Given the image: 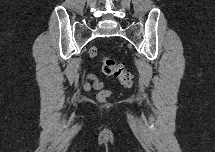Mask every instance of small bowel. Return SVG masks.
<instances>
[{
	"mask_svg": "<svg viewBox=\"0 0 215 152\" xmlns=\"http://www.w3.org/2000/svg\"><path fill=\"white\" fill-rule=\"evenodd\" d=\"M83 87L85 90H90L91 88L99 90L104 87V83L94 74H87L83 79Z\"/></svg>",
	"mask_w": 215,
	"mask_h": 152,
	"instance_id": "1",
	"label": "small bowel"
}]
</instances>
